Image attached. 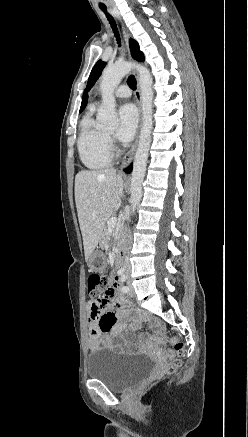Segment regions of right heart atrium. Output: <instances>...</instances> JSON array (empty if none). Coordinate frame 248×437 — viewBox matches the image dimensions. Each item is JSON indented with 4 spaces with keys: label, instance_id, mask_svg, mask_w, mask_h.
<instances>
[{
    "label": "right heart atrium",
    "instance_id": "d8ad5b80",
    "mask_svg": "<svg viewBox=\"0 0 248 437\" xmlns=\"http://www.w3.org/2000/svg\"><path fill=\"white\" fill-rule=\"evenodd\" d=\"M107 142H108L109 146H111L113 143V139L109 135H107Z\"/></svg>",
    "mask_w": 248,
    "mask_h": 437
}]
</instances>
